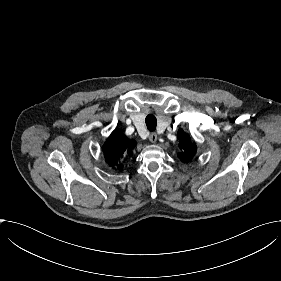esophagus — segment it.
<instances>
[{"mask_svg":"<svg viewBox=\"0 0 281 281\" xmlns=\"http://www.w3.org/2000/svg\"><path fill=\"white\" fill-rule=\"evenodd\" d=\"M149 140L152 142V143H155L157 141V134L155 132H152L150 133L149 135Z\"/></svg>","mask_w":281,"mask_h":281,"instance_id":"esophagus-1","label":"esophagus"}]
</instances>
